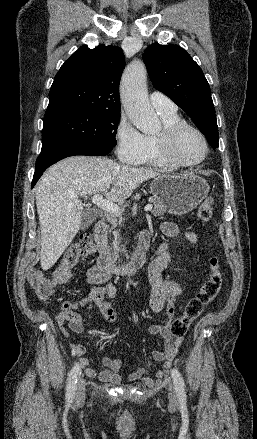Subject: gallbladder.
<instances>
[{"mask_svg": "<svg viewBox=\"0 0 257 439\" xmlns=\"http://www.w3.org/2000/svg\"><path fill=\"white\" fill-rule=\"evenodd\" d=\"M94 219L95 216L91 214L89 210H85L82 213V217H81V228L84 229L88 227L94 221Z\"/></svg>", "mask_w": 257, "mask_h": 439, "instance_id": "1", "label": "gallbladder"}]
</instances>
